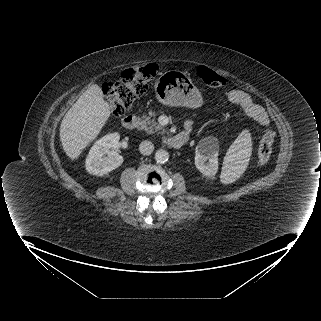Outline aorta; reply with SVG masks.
<instances>
[{"label":"aorta","mask_w":321,"mask_h":321,"mask_svg":"<svg viewBox=\"0 0 321 321\" xmlns=\"http://www.w3.org/2000/svg\"><path fill=\"white\" fill-rule=\"evenodd\" d=\"M169 159V153L164 150V149H158L156 152H155V160L158 162V163H165L167 162Z\"/></svg>","instance_id":"obj_1"}]
</instances>
